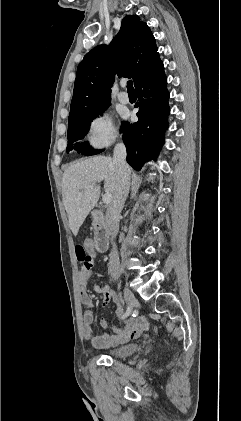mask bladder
Masks as SVG:
<instances>
[{
	"label": "bladder",
	"instance_id": "31cf9c89",
	"mask_svg": "<svg viewBox=\"0 0 241 421\" xmlns=\"http://www.w3.org/2000/svg\"><path fill=\"white\" fill-rule=\"evenodd\" d=\"M139 345L136 343L126 344L120 347L109 350L106 355L112 358H127L139 350Z\"/></svg>",
	"mask_w": 241,
	"mask_h": 421
}]
</instances>
